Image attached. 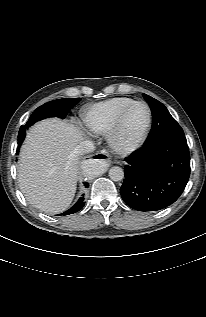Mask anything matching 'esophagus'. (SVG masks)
I'll return each mask as SVG.
<instances>
[{
    "label": "esophagus",
    "mask_w": 206,
    "mask_h": 317,
    "mask_svg": "<svg viewBox=\"0 0 206 317\" xmlns=\"http://www.w3.org/2000/svg\"><path fill=\"white\" fill-rule=\"evenodd\" d=\"M94 160H96L97 162H99L100 164H102L103 166H109L111 164V160L109 157L108 152L106 151H101L99 153H96L94 155Z\"/></svg>",
    "instance_id": "esophagus-1"
}]
</instances>
